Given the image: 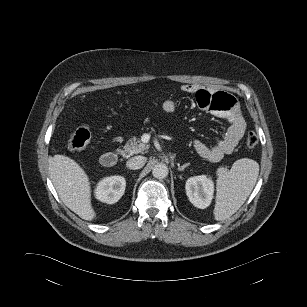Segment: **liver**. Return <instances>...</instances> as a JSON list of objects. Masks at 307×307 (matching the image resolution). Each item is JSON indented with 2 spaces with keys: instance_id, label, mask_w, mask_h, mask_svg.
I'll list each match as a JSON object with an SVG mask.
<instances>
[{
  "instance_id": "liver-1",
  "label": "liver",
  "mask_w": 307,
  "mask_h": 307,
  "mask_svg": "<svg viewBox=\"0 0 307 307\" xmlns=\"http://www.w3.org/2000/svg\"><path fill=\"white\" fill-rule=\"evenodd\" d=\"M49 175L63 203L80 218L91 221L96 213L91 204V187L82 167L65 155L50 156Z\"/></svg>"
}]
</instances>
